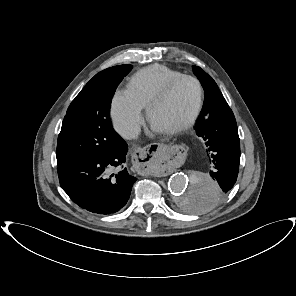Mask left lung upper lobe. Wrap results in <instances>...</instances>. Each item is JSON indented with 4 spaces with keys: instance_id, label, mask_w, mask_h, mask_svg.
<instances>
[{
    "instance_id": "left-lung-upper-lobe-1",
    "label": "left lung upper lobe",
    "mask_w": 296,
    "mask_h": 296,
    "mask_svg": "<svg viewBox=\"0 0 296 296\" xmlns=\"http://www.w3.org/2000/svg\"><path fill=\"white\" fill-rule=\"evenodd\" d=\"M193 70L194 74L200 80L205 91L204 106L195 125V130L198 135L197 130L200 123L209 115V113L212 111L214 107H216L221 102L225 101V98L218 89V86L215 83V81L207 73H205L200 67L197 66H193ZM185 208L187 210H195L193 208H188V206Z\"/></svg>"
}]
</instances>
